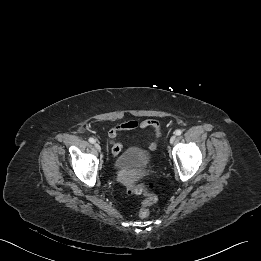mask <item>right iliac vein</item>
<instances>
[{
	"mask_svg": "<svg viewBox=\"0 0 261 261\" xmlns=\"http://www.w3.org/2000/svg\"><path fill=\"white\" fill-rule=\"evenodd\" d=\"M95 148L97 149V151H101V146H100V144L99 143H95Z\"/></svg>",
	"mask_w": 261,
	"mask_h": 261,
	"instance_id": "1",
	"label": "right iliac vein"
}]
</instances>
